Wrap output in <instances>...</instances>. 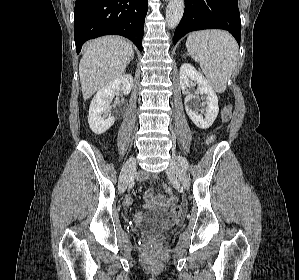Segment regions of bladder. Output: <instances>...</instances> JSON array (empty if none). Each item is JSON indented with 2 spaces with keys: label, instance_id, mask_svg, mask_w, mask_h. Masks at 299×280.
<instances>
[{
  "label": "bladder",
  "instance_id": "obj_1",
  "mask_svg": "<svg viewBox=\"0 0 299 280\" xmlns=\"http://www.w3.org/2000/svg\"><path fill=\"white\" fill-rule=\"evenodd\" d=\"M169 223L161 214L151 213L142 217L138 228L145 231L161 232L168 228Z\"/></svg>",
  "mask_w": 299,
  "mask_h": 280
}]
</instances>
